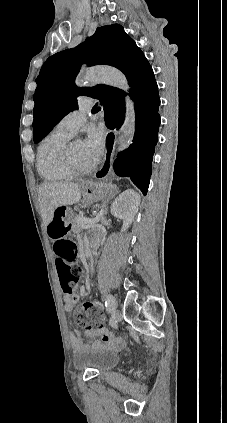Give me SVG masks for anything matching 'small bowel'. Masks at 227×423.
<instances>
[{
    "instance_id": "obj_1",
    "label": "small bowel",
    "mask_w": 227,
    "mask_h": 423,
    "mask_svg": "<svg viewBox=\"0 0 227 423\" xmlns=\"http://www.w3.org/2000/svg\"><path fill=\"white\" fill-rule=\"evenodd\" d=\"M55 222H57L56 220H53L49 226H48V232H49V236L50 238L53 240V238L51 237V233L50 230L52 228V226L55 224ZM54 242V240H53ZM64 302H65V310L66 312H71L74 308V306L78 303L79 301V296L76 294H64L63 296ZM86 335L90 338H96V337H101L102 340L104 342H113V338L103 329H96V330H88L86 331ZM71 341H72V345L75 351L80 352L82 350H84L86 348V346L82 343L79 334L73 333L71 334ZM116 343H119V341H116Z\"/></svg>"
}]
</instances>
